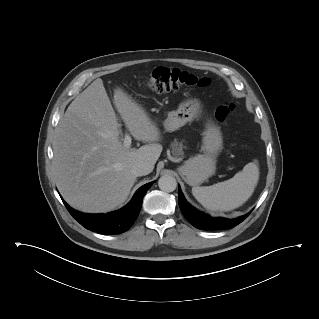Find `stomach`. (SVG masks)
Masks as SVG:
<instances>
[{
  "label": "stomach",
  "mask_w": 319,
  "mask_h": 319,
  "mask_svg": "<svg viewBox=\"0 0 319 319\" xmlns=\"http://www.w3.org/2000/svg\"><path fill=\"white\" fill-rule=\"evenodd\" d=\"M201 108L200 101L195 98L181 102L177 110L170 112L164 121L166 131L178 130L186 123L198 118ZM202 135L203 154L189 158L178 167L179 174L190 186H198L215 174L216 159L223 147L220 128L212 121L207 122Z\"/></svg>",
  "instance_id": "1"
}]
</instances>
